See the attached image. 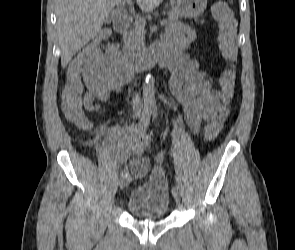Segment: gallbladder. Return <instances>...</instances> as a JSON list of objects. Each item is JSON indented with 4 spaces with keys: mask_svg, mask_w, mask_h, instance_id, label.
<instances>
[{
    "mask_svg": "<svg viewBox=\"0 0 295 250\" xmlns=\"http://www.w3.org/2000/svg\"><path fill=\"white\" fill-rule=\"evenodd\" d=\"M111 19H112V16L109 15L105 21H106L107 23H109V22L111 21Z\"/></svg>",
    "mask_w": 295,
    "mask_h": 250,
    "instance_id": "bac80fb5",
    "label": "gallbladder"
}]
</instances>
